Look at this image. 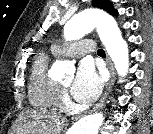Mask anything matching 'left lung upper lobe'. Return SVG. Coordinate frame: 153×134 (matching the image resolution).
I'll list each match as a JSON object with an SVG mask.
<instances>
[{
	"instance_id": "5c2ea615",
	"label": "left lung upper lobe",
	"mask_w": 153,
	"mask_h": 134,
	"mask_svg": "<svg viewBox=\"0 0 153 134\" xmlns=\"http://www.w3.org/2000/svg\"><path fill=\"white\" fill-rule=\"evenodd\" d=\"M92 5L94 7H97V8H100V9L107 11L108 13H110L113 16L118 15V12L114 9L112 2L109 0H93Z\"/></svg>"
}]
</instances>
